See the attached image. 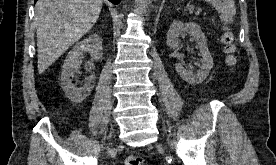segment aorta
I'll return each mask as SVG.
<instances>
[{"label":"aorta","instance_id":"aorta-1","mask_svg":"<svg viewBox=\"0 0 276 165\" xmlns=\"http://www.w3.org/2000/svg\"><path fill=\"white\" fill-rule=\"evenodd\" d=\"M153 0H137L136 9L139 14H144Z\"/></svg>","mask_w":276,"mask_h":165}]
</instances>
